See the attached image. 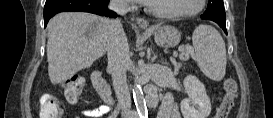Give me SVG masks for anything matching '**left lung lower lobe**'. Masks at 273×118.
<instances>
[{"instance_id": "0a47b994", "label": "left lung lower lobe", "mask_w": 273, "mask_h": 118, "mask_svg": "<svg viewBox=\"0 0 273 118\" xmlns=\"http://www.w3.org/2000/svg\"><path fill=\"white\" fill-rule=\"evenodd\" d=\"M213 21V20H212ZM216 22L217 24L220 25V27L224 30V32L227 34V30H226V25H225V22H221V21H214Z\"/></svg>"}]
</instances>
